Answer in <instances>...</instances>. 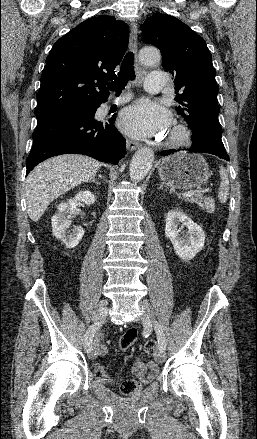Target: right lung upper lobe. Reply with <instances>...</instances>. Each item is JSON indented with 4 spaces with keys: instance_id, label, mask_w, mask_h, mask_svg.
<instances>
[{
    "instance_id": "obj_1",
    "label": "right lung upper lobe",
    "mask_w": 257,
    "mask_h": 439,
    "mask_svg": "<svg viewBox=\"0 0 257 439\" xmlns=\"http://www.w3.org/2000/svg\"><path fill=\"white\" fill-rule=\"evenodd\" d=\"M127 24L112 16L92 17L56 41L41 75L36 117L106 102L128 45Z\"/></svg>"
}]
</instances>
